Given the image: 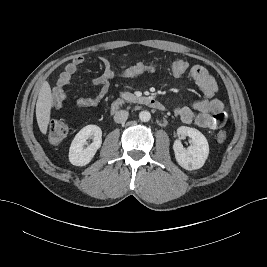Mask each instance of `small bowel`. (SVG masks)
I'll return each instance as SVG.
<instances>
[{"mask_svg":"<svg viewBox=\"0 0 267 267\" xmlns=\"http://www.w3.org/2000/svg\"><path fill=\"white\" fill-rule=\"evenodd\" d=\"M103 72L92 80V85L97 89L94 96L80 97L76 105L80 108L97 106L107 95L110 81L114 79V70L105 57H100ZM84 65V57L76 56L60 73L57 85L52 91L51 104L54 108H60L67 98V87L71 84L73 76ZM190 76L203 92L205 98L194 102L189 106L177 108L175 114L186 124L195 125L206 129H218L226 122L227 115L221 100L215 98L218 90L215 79L207 69L201 65H194L190 69Z\"/></svg>","mask_w":267,"mask_h":267,"instance_id":"small-bowel-1","label":"small bowel"}]
</instances>
